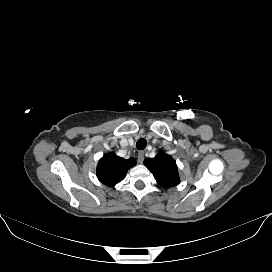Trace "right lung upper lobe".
<instances>
[{"label":"right lung upper lobe","mask_w":272,"mask_h":272,"mask_svg":"<svg viewBox=\"0 0 272 272\" xmlns=\"http://www.w3.org/2000/svg\"><path fill=\"white\" fill-rule=\"evenodd\" d=\"M135 164L134 158L125 160L115 153H107L99 161L96 174L103 184L113 186L122 181L127 171Z\"/></svg>","instance_id":"cb5924a9"}]
</instances>
